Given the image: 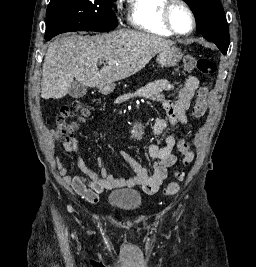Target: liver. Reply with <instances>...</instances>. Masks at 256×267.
Listing matches in <instances>:
<instances>
[{"label":"liver","instance_id":"1","mask_svg":"<svg viewBox=\"0 0 256 267\" xmlns=\"http://www.w3.org/2000/svg\"><path fill=\"white\" fill-rule=\"evenodd\" d=\"M167 44L172 46L174 42L134 30L55 40L49 44L43 62L41 98H64L73 78L89 88L129 78L145 68ZM98 62H107L108 66L98 70Z\"/></svg>","mask_w":256,"mask_h":267}]
</instances>
